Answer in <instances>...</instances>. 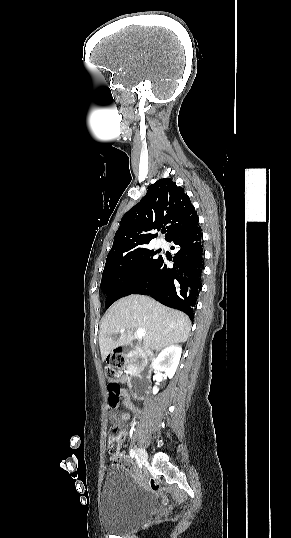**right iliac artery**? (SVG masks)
<instances>
[{
	"label": "right iliac artery",
	"mask_w": 291,
	"mask_h": 538,
	"mask_svg": "<svg viewBox=\"0 0 291 538\" xmlns=\"http://www.w3.org/2000/svg\"><path fill=\"white\" fill-rule=\"evenodd\" d=\"M130 456H131V458H134L136 456V452H135L134 449L130 450Z\"/></svg>",
	"instance_id": "82829eb1"
}]
</instances>
